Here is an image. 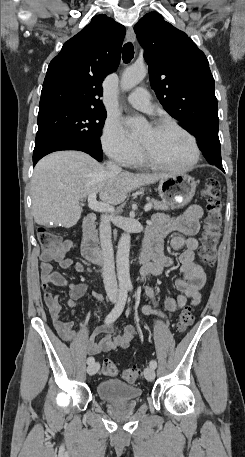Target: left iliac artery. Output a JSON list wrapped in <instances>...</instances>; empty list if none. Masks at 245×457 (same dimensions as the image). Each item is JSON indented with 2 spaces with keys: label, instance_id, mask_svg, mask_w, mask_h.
I'll list each match as a JSON object with an SVG mask.
<instances>
[{
  "label": "left iliac artery",
  "instance_id": "left-iliac-artery-1",
  "mask_svg": "<svg viewBox=\"0 0 245 457\" xmlns=\"http://www.w3.org/2000/svg\"><path fill=\"white\" fill-rule=\"evenodd\" d=\"M129 289L132 290L133 287L130 286ZM149 366H150L151 368L155 369V368L157 367V362H156V360H151Z\"/></svg>",
  "mask_w": 245,
  "mask_h": 457
}]
</instances>
